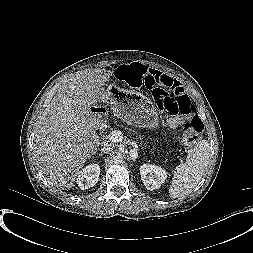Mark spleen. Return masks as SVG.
<instances>
[{
    "label": "spleen",
    "mask_w": 253,
    "mask_h": 253,
    "mask_svg": "<svg viewBox=\"0 0 253 253\" xmlns=\"http://www.w3.org/2000/svg\"><path fill=\"white\" fill-rule=\"evenodd\" d=\"M209 160V143L206 140H202L188 151L186 161L181 162L175 168L169 196L175 199L184 198L188 195L202 179Z\"/></svg>",
    "instance_id": "3e777b00"
}]
</instances>
